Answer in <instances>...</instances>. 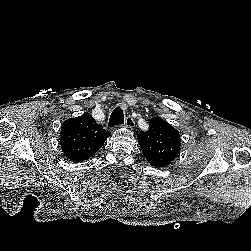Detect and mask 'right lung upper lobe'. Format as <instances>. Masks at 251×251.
Here are the masks:
<instances>
[{
	"label": "right lung upper lobe",
	"instance_id": "obj_1",
	"mask_svg": "<svg viewBox=\"0 0 251 251\" xmlns=\"http://www.w3.org/2000/svg\"><path fill=\"white\" fill-rule=\"evenodd\" d=\"M110 134L92 116L83 114L62 124L61 149L70 161L82 162L93 156Z\"/></svg>",
	"mask_w": 251,
	"mask_h": 251
}]
</instances>
